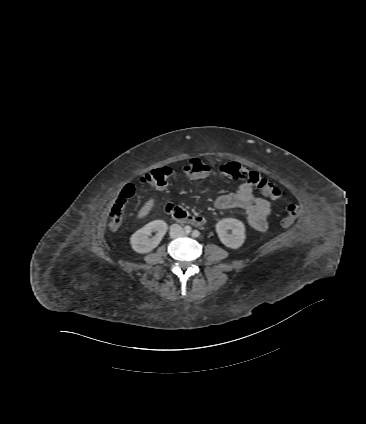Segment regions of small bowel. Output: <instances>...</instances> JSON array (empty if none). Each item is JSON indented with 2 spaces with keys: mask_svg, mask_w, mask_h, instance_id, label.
Segmentation results:
<instances>
[{
  "mask_svg": "<svg viewBox=\"0 0 366 424\" xmlns=\"http://www.w3.org/2000/svg\"><path fill=\"white\" fill-rule=\"evenodd\" d=\"M215 206L219 209L240 208L245 210L248 224L255 230L263 232L267 229V218L271 211L269 201L254 194L253 186L243 183L235 192L218 196Z\"/></svg>",
  "mask_w": 366,
  "mask_h": 424,
  "instance_id": "c3829d8e",
  "label": "small bowel"
}]
</instances>
